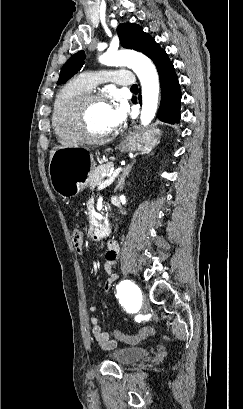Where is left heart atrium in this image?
I'll return each mask as SVG.
<instances>
[{"label":"left heart atrium","mask_w":243,"mask_h":409,"mask_svg":"<svg viewBox=\"0 0 243 409\" xmlns=\"http://www.w3.org/2000/svg\"><path fill=\"white\" fill-rule=\"evenodd\" d=\"M126 117V107L125 104L121 101L115 102L113 105H110L109 113V125L111 130L116 129L124 122Z\"/></svg>","instance_id":"obj_1"}]
</instances>
